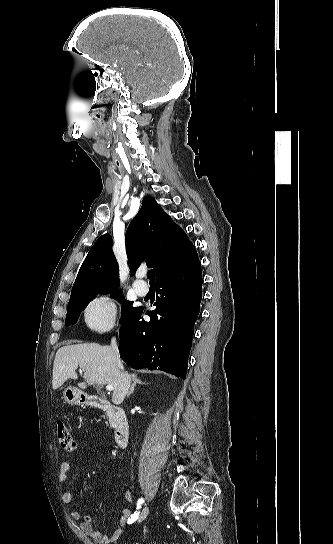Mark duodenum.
Instances as JSON below:
<instances>
[{
	"instance_id": "1",
	"label": "duodenum",
	"mask_w": 333,
	"mask_h": 544,
	"mask_svg": "<svg viewBox=\"0 0 333 544\" xmlns=\"http://www.w3.org/2000/svg\"><path fill=\"white\" fill-rule=\"evenodd\" d=\"M81 402L87 406L102 409L109 413L115 425V443L119 448H124L129 438V424L125 412L109 401L96 396H82Z\"/></svg>"
}]
</instances>
